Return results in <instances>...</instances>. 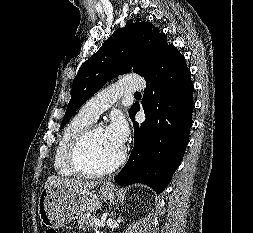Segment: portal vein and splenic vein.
<instances>
[{"label": "portal vein and splenic vein", "instance_id": "portal-vein-and-splenic-vein-1", "mask_svg": "<svg viewBox=\"0 0 253 233\" xmlns=\"http://www.w3.org/2000/svg\"><path fill=\"white\" fill-rule=\"evenodd\" d=\"M94 223L97 225V226H101V227H104L105 226V223L103 220H99L97 218H94Z\"/></svg>", "mask_w": 253, "mask_h": 233}]
</instances>
